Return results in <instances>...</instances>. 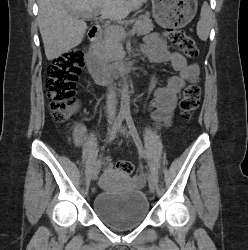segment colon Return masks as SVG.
<instances>
[{
    "label": "colon",
    "mask_w": 248,
    "mask_h": 250,
    "mask_svg": "<svg viewBox=\"0 0 248 250\" xmlns=\"http://www.w3.org/2000/svg\"><path fill=\"white\" fill-rule=\"evenodd\" d=\"M165 37L175 46L180 48L189 58L198 56V46L195 39L185 31L168 27ZM84 66V48L70 49L53 61L47 69V91L51 103L52 116L55 121H67L76 109L75 87L78 76ZM201 97V88L198 79L191 80L183 90L179 103L183 119L191 118L198 108ZM118 170L126 175L134 171L133 164L129 161H118Z\"/></svg>",
    "instance_id": "colon-1"
}]
</instances>
